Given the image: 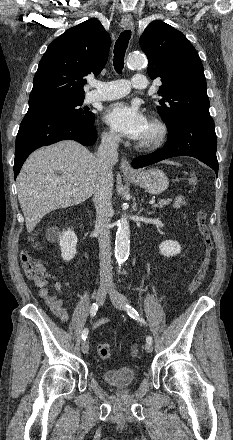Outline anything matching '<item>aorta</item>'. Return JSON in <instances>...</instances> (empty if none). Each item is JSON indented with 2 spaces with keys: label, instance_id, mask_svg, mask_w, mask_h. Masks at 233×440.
Listing matches in <instances>:
<instances>
[{
  "label": "aorta",
  "instance_id": "762f6f07",
  "mask_svg": "<svg viewBox=\"0 0 233 440\" xmlns=\"http://www.w3.org/2000/svg\"><path fill=\"white\" fill-rule=\"evenodd\" d=\"M146 64L145 56L142 54H131L127 59V66L130 69L142 68ZM130 250V226L126 217L118 221V229L115 239V257L119 264L129 256Z\"/></svg>",
  "mask_w": 233,
  "mask_h": 440
}]
</instances>
